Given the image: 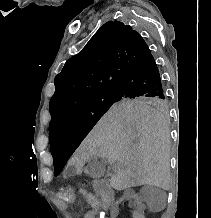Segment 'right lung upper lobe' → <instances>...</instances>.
<instances>
[{
  "label": "right lung upper lobe",
  "instance_id": "right-lung-upper-lobe-1",
  "mask_svg": "<svg viewBox=\"0 0 211 218\" xmlns=\"http://www.w3.org/2000/svg\"><path fill=\"white\" fill-rule=\"evenodd\" d=\"M150 54L143 38L130 26L119 21L105 23L55 77L50 124L79 104L115 91L120 81Z\"/></svg>",
  "mask_w": 211,
  "mask_h": 218
}]
</instances>
